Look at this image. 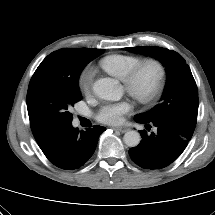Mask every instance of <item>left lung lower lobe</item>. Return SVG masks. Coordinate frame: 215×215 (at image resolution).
I'll list each match as a JSON object with an SVG mask.
<instances>
[{
	"instance_id": "0a47b994",
	"label": "left lung lower lobe",
	"mask_w": 215,
	"mask_h": 215,
	"mask_svg": "<svg viewBox=\"0 0 215 215\" xmlns=\"http://www.w3.org/2000/svg\"><path fill=\"white\" fill-rule=\"evenodd\" d=\"M134 119L147 129L150 125L156 127L149 135L145 130L140 131L141 142L129 149L131 159L145 169H161L171 164L184 151L193 134L169 120Z\"/></svg>"
}]
</instances>
